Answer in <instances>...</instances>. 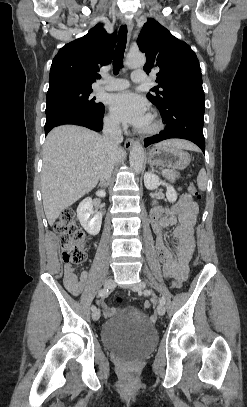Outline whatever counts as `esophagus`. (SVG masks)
Wrapping results in <instances>:
<instances>
[{
    "label": "esophagus",
    "instance_id": "1",
    "mask_svg": "<svg viewBox=\"0 0 247 407\" xmlns=\"http://www.w3.org/2000/svg\"><path fill=\"white\" fill-rule=\"evenodd\" d=\"M123 24H125L127 26V29H128V41H129L130 37H131L132 29H133V23L130 20L123 19ZM133 143H134V140L132 138H126L125 141H124V147L126 149H130L131 146L133 145Z\"/></svg>",
    "mask_w": 247,
    "mask_h": 407
}]
</instances>
